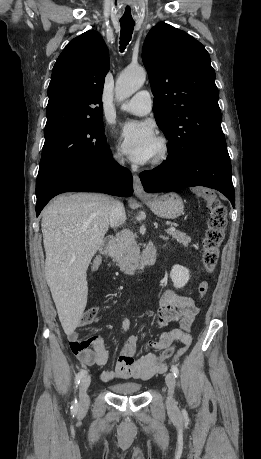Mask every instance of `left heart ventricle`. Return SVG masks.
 <instances>
[{
	"label": "left heart ventricle",
	"mask_w": 261,
	"mask_h": 459,
	"mask_svg": "<svg viewBox=\"0 0 261 459\" xmlns=\"http://www.w3.org/2000/svg\"><path fill=\"white\" fill-rule=\"evenodd\" d=\"M158 149H159L158 143H156L155 148H154V151H153V156H152V158L158 153ZM152 158H151V159H152Z\"/></svg>",
	"instance_id": "1"
}]
</instances>
